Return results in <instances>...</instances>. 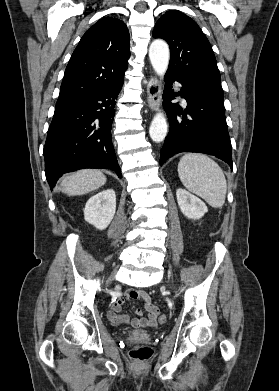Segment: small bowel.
<instances>
[{
    "label": "small bowel",
    "mask_w": 279,
    "mask_h": 391,
    "mask_svg": "<svg viewBox=\"0 0 279 391\" xmlns=\"http://www.w3.org/2000/svg\"><path fill=\"white\" fill-rule=\"evenodd\" d=\"M125 298L134 299V300H143L145 303V309L147 311V316H142V311L137 309L135 314L137 317L131 318L128 315L120 314L122 305ZM159 315V309L157 305L152 302L150 296L142 291L131 289L126 291L123 296L117 297L114 302L111 304L110 310L108 311L109 319L116 324H130L134 327H152L157 323V318Z\"/></svg>",
    "instance_id": "c3829d8e"
}]
</instances>
